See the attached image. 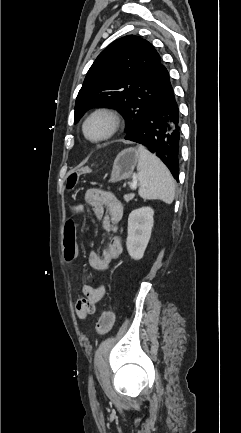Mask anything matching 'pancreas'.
I'll use <instances>...</instances> for the list:
<instances>
[{"mask_svg": "<svg viewBox=\"0 0 241 433\" xmlns=\"http://www.w3.org/2000/svg\"><path fill=\"white\" fill-rule=\"evenodd\" d=\"M133 198H134V194H133V193L124 195V200H125L126 202H129V201L132 200Z\"/></svg>", "mask_w": 241, "mask_h": 433, "instance_id": "cf45deb5", "label": "pancreas"}]
</instances>
